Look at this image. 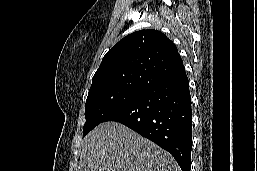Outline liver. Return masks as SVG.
Returning <instances> with one entry per match:
<instances>
[{
	"instance_id": "6515ba94",
	"label": "liver",
	"mask_w": 257,
	"mask_h": 171,
	"mask_svg": "<svg viewBox=\"0 0 257 171\" xmlns=\"http://www.w3.org/2000/svg\"><path fill=\"white\" fill-rule=\"evenodd\" d=\"M78 171H181L174 158L118 122H104L84 139Z\"/></svg>"
}]
</instances>
